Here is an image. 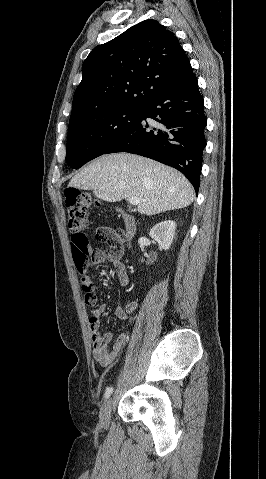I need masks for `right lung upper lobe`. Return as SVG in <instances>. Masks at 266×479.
I'll return each mask as SVG.
<instances>
[{"label": "right lung upper lobe", "instance_id": "right-lung-upper-lobe-1", "mask_svg": "<svg viewBox=\"0 0 266 479\" xmlns=\"http://www.w3.org/2000/svg\"><path fill=\"white\" fill-rule=\"evenodd\" d=\"M192 72L178 39L148 19L95 47L82 66L70 121L120 108L143 107Z\"/></svg>", "mask_w": 266, "mask_h": 479}]
</instances>
